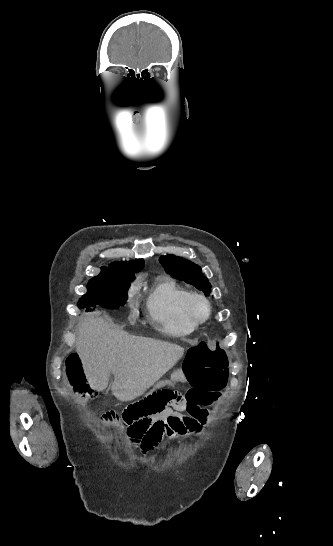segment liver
I'll return each mask as SVG.
<instances>
[{"label":"liver","instance_id":"6515ba94","mask_svg":"<svg viewBox=\"0 0 333 546\" xmlns=\"http://www.w3.org/2000/svg\"><path fill=\"white\" fill-rule=\"evenodd\" d=\"M76 351L89 388L105 390L112 372L111 391L120 401L141 396L184 354L179 345L114 329L92 313L80 319Z\"/></svg>","mask_w":333,"mask_h":546}]
</instances>
